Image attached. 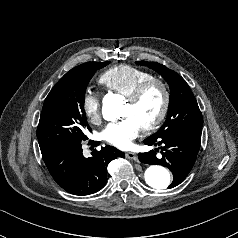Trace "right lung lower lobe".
Returning <instances> with one entry per match:
<instances>
[{"mask_svg": "<svg viewBox=\"0 0 238 238\" xmlns=\"http://www.w3.org/2000/svg\"><path fill=\"white\" fill-rule=\"evenodd\" d=\"M81 146V143L68 145L42 154L57 184L68 193L79 196L96 193L104 187L108 163L117 157H125L123 152L106 146L100 151L95 150L92 157L85 158Z\"/></svg>", "mask_w": 238, "mask_h": 238, "instance_id": "1", "label": "right lung lower lobe"}]
</instances>
